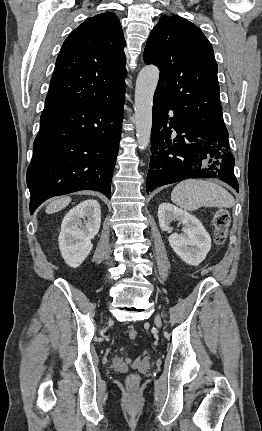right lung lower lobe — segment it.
Wrapping results in <instances>:
<instances>
[{"label":"right lung lower lobe","instance_id":"right-lung-lower-lobe-1","mask_svg":"<svg viewBox=\"0 0 262 431\" xmlns=\"http://www.w3.org/2000/svg\"><path fill=\"white\" fill-rule=\"evenodd\" d=\"M125 90L92 105L45 106L27 170L30 213L50 197L97 190L110 199Z\"/></svg>","mask_w":262,"mask_h":431}]
</instances>
